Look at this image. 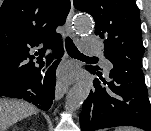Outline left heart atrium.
Returning <instances> with one entry per match:
<instances>
[{"label":"left heart atrium","mask_w":151,"mask_h":131,"mask_svg":"<svg viewBox=\"0 0 151 131\" xmlns=\"http://www.w3.org/2000/svg\"><path fill=\"white\" fill-rule=\"evenodd\" d=\"M61 77H62L63 80H66V79L69 78V74L67 72H62Z\"/></svg>","instance_id":"39dd6f15"}]
</instances>
